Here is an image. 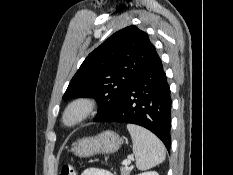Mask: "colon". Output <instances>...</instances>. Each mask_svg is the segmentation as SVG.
Instances as JSON below:
<instances>
[{"mask_svg": "<svg viewBox=\"0 0 233 175\" xmlns=\"http://www.w3.org/2000/svg\"><path fill=\"white\" fill-rule=\"evenodd\" d=\"M58 175H77L75 166L71 163L64 164Z\"/></svg>", "mask_w": 233, "mask_h": 175, "instance_id": "1", "label": "colon"}]
</instances>
